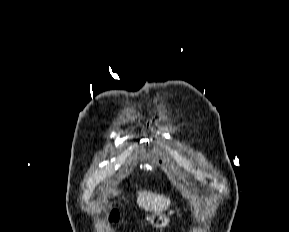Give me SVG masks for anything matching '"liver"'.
I'll return each instance as SVG.
<instances>
[{
  "label": "liver",
  "instance_id": "liver-1",
  "mask_svg": "<svg viewBox=\"0 0 289 232\" xmlns=\"http://www.w3.org/2000/svg\"><path fill=\"white\" fill-rule=\"evenodd\" d=\"M113 196L119 194L116 190H110ZM138 205L145 211L163 212L167 210L171 204L170 198L163 194L152 193L150 191L138 192Z\"/></svg>",
  "mask_w": 289,
  "mask_h": 232
}]
</instances>
